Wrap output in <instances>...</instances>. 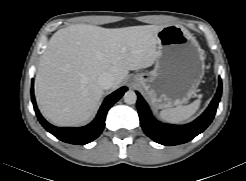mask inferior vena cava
<instances>
[{"label": "inferior vena cava", "mask_w": 246, "mask_h": 181, "mask_svg": "<svg viewBox=\"0 0 246 181\" xmlns=\"http://www.w3.org/2000/svg\"><path fill=\"white\" fill-rule=\"evenodd\" d=\"M98 85L102 88V89H110L113 87L114 84V76L109 73V72H103L99 77H98Z\"/></svg>", "instance_id": "602c4592"}]
</instances>
